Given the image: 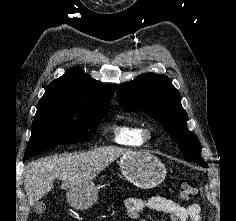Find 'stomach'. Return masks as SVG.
I'll return each mask as SVG.
<instances>
[{"label":"stomach","instance_id":"stomach-1","mask_svg":"<svg viewBox=\"0 0 236 221\" xmlns=\"http://www.w3.org/2000/svg\"><path fill=\"white\" fill-rule=\"evenodd\" d=\"M120 170L123 176L141 189L158 186L166 176L164 164L148 152H128L121 156ZM68 203L79 210L90 208L98 198V189L93 182L70 188L67 192Z\"/></svg>","mask_w":236,"mask_h":221}]
</instances>
